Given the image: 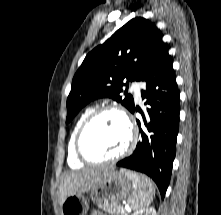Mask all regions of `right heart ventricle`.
Returning <instances> with one entry per match:
<instances>
[{"label":"right heart ventricle","instance_id":"1","mask_svg":"<svg viewBox=\"0 0 221 215\" xmlns=\"http://www.w3.org/2000/svg\"><path fill=\"white\" fill-rule=\"evenodd\" d=\"M95 108L93 106L87 107L78 117L76 123L73 126L70 139L68 142V164L72 168H80L84 165V163L79 160V158L76 155L75 152V137L76 134L83 123V121L86 119V117L94 110Z\"/></svg>","mask_w":221,"mask_h":215}]
</instances>
